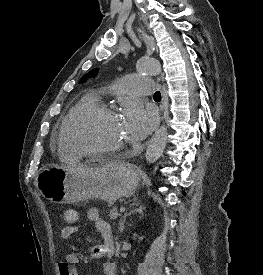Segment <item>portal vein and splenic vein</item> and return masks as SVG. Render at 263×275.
I'll use <instances>...</instances> for the list:
<instances>
[{
    "mask_svg": "<svg viewBox=\"0 0 263 275\" xmlns=\"http://www.w3.org/2000/svg\"><path fill=\"white\" fill-rule=\"evenodd\" d=\"M120 212H125V207H120Z\"/></svg>",
    "mask_w": 263,
    "mask_h": 275,
    "instance_id": "obj_1",
    "label": "portal vein and splenic vein"
}]
</instances>
